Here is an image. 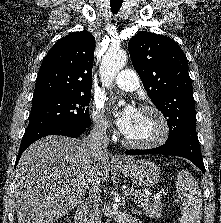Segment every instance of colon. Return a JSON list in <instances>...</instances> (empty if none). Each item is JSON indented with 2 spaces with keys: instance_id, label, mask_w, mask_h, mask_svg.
Wrapping results in <instances>:
<instances>
[{
  "instance_id": "5ec220e1",
  "label": "colon",
  "mask_w": 221,
  "mask_h": 223,
  "mask_svg": "<svg viewBox=\"0 0 221 223\" xmlns=\"http://www.w3.org/2000/svg\"><path fill=\"white\" fill-rule=\"evenodd\" d=\"M59 223H67V222H59Z\"/></svg>"
}]
</instances>
